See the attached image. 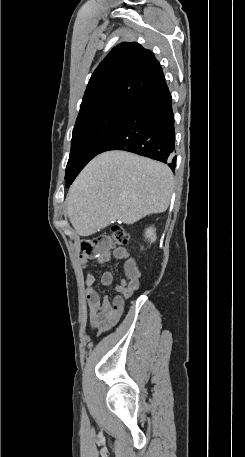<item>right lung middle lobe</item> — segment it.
<instances>
[{
	"label": "right lung middle lobe",
	"mask_w": 245,
	"mask_h": 457,
	"mask_svg": "<svg viewBox=\"0 0 245 457\" xmlns=\"http://www.w3.org/2000/svg\"><path fill=\"white\" fill-rule=\"evenodd\" d=\"M129 108L112 105L104 109L79 114L73 129L71 152L65 181L72 184L84 166L97 154L123 121Z\"/></svg>",
	"instance_id": "1"
}]
</instances>
